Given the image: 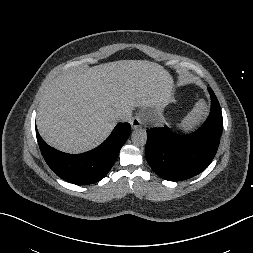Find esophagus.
Returning a JSON list of instances; mask_svg holds the SVG:
<instances>
[{"label":"esophagus","mask_w":253,"mask_h":253,"mask_svg":"<svg viewBox=\"0 0 253 253\" xmlns=\"http://www.w3.org/2000/svg\"><path fill=\"white\" fill-rule=\"evenodd\" d=\"M131 126H132V129H137V128L141 127V119L138 116H135L131 120Z\"/></svg>","instance_id":"esophagus-1"}]
</instances>
